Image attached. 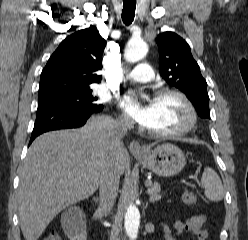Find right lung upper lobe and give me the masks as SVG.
Instances as JSON below:
<instances>
[{
    "label": "right lung upper lobe",
    "instance_id": "right-lung-upper-lobe-1",
    "mask_svg": "<svg viewBox=\"0 0 248 240\" xmlns=\"http://www.w3.org/2000/svg\"><path fill=\"white\" fill-rule=\"evenodd\" d=\"M105 45L95 26L68 36L42 70L38 97L77 93L100 83L102 77L95 72L102 68Z\"/></svg>",
    "mask_w": 248,
    "mask_h": 240
}]
</instances>
